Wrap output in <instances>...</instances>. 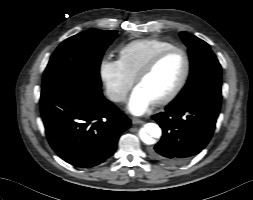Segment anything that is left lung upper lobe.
<instances>
[{
  "label": "left lung upper lobe",
  "instance_id": "left-lung-upper-lobe-1",
  "mask_svg": "<svg viewBox=\"0 0 253 200\" xmlns=\"http://www.w3.org/2000/svg\"><path fill=\"white\" fill-rule=\"evenodd\" d=\"M180 37L188 47L191 68L187 84L174 102H187L205 92L221 94V66L210 46L187 32H180Z\"/></svg>",
  "mask_w": 253,
  "mask_h": 200
}]
</instances>
